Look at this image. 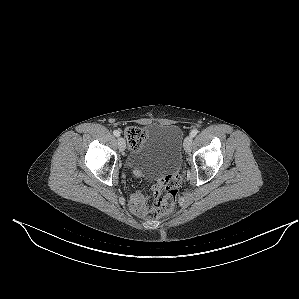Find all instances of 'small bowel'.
I'll return each mask as SVG.
<instances>
[{
  "instance_id": "1",
  "label": "small bowel",
  "mask_w": 299,
  "mask_h": 299,
  "mask_svg": "<svg viewBox=\"0 0 299 299\" xmlns=\"http://www.w3.org/2000/svg\"><path fill=\"white\" fill-rule=\"evenodd\" d=\"M131 208L135 213L138 214H143L146 212L147 199L140 191H137L132 195Z\"/></svg>"
}]
</instances>
